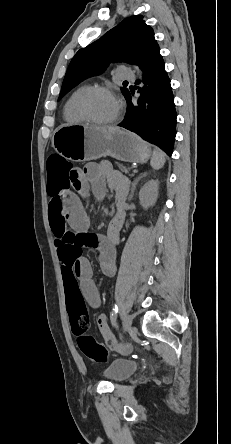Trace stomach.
Wrapping results in <instances>:
<instances>
[{
	"label": "stomach",
	"instance_id": "obj_1",
	"mask_svg": "<svg viewBox=\"0 0 231 444\" xmlns=\"http://www.w3.org/2000/svg\"><path fill=\"white\" fill-rule=\"evenodd\" d=\"M52 146L61 156L78 162L111 156L143 163L151 156L150 147L128 131H101L80 124L59 126L52 136Z\"/></svg>",
	"mask_w": 231,
	"mask_h": 444
}]
</instances>
